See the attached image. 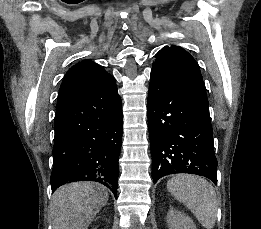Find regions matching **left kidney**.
Returning <instances> with one entry per match:
<instances>
[{
	"instance_id": "5707ae66",
	"label": "left kidney",
	"mask_w": 261,
	"mask_h": 229,
	"mask_svg": "<svg viewBox=\"0 0 261 229\" xmlns=\"http://www.w3.org/2000/svg\"><path fill=\"white\" fill-rule=\"evenodd\" d=\"M167 223L169 229H196V225L190 217H186L184 213L175 211V209H169Z\"/></svg>"
}]
</instances>
